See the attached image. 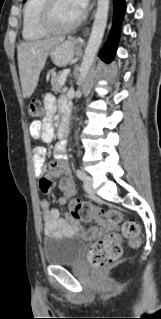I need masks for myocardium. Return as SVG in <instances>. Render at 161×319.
Wrapping results in <instances>:
<instances>
[{
	"instance_id": "obj_1",
	"label": "myocardium",
	"mask_w": 161,
	"mask_h": 319,
	"mask_svg": "<svg viewBox=\"0 0 161 319\" xmlns=\"http://www.w3.org/2000/svg\"><path fill=\"white\" fill-rule=\"evenodd\" d=\"M57 0H43L38 17V25L48 34H64L76 29L84 19V13L81 12L79 16L70 24L66 26H56L53 22V14Z\"/></svg>"
}]
</instances>
